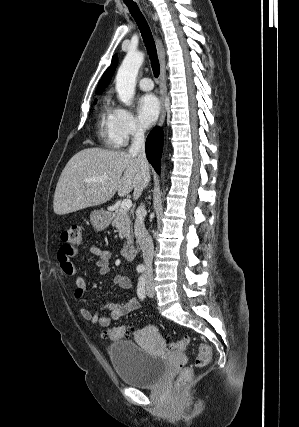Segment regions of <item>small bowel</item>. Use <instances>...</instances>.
<instances>
[{
    "label": "small bowel",
    "instance_id": "obj_1",
    "mask_svg": "<svg viewBox=\"0 0 299 427\" xmlns=\"http://www.w3.org/2000/svg\"><path fill=\"white\" fill-rule=\"evenodd\" d=\"M89 251L96 257L95 265L98 273L100 275L108 274L110 252L96 245L89 246ZM78 254L79 250L77 247L70 244H64L60 247L58 253V262L64 274L69 276H76L75 298L81 300L84 298L87 291V282L83 277L78 276V268L71 260ZM113 284L125 291L132 290L131 279L123 274L116 275L113 278ZM139 306V302L135 298H131L126 302L107 303L104 306V309L108 311V314L106 315H99L97 311L94 312L87 307L80 308V315L86 321H89L93 324H99L101 327L107 328L111 325L112 321L120 319L121 317L139 308Z\"/></svg>",
    "mask_w": 299,
    "mask_h": 427
}]
</instances>
